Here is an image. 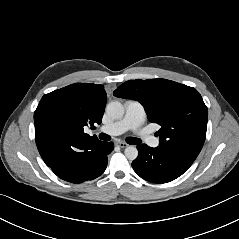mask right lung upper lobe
Wrapping results in <instances>:
<instances>
[{"label":"right lung upper lobe","instance_id":"right-lung-upper-lobe-1","mask_svg":"<svg viewBox=\"0 0 239 239\" xmlns=\"http://www.w3.org/2000/svg\"><path fill=\"white\" fill-rule=\"evenodd\" d=\"M106 100L104 86L91 83H75L42 97L34 113L35 140L47 166L64 147L99 141L84 128L101 123Z\"/></svg>","mask_w":239,"mask_h":239}]
</instances>
